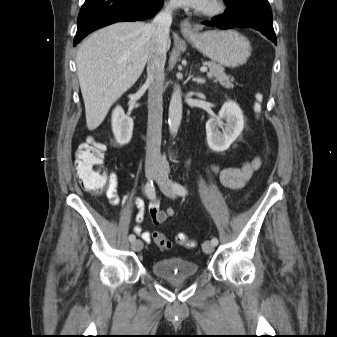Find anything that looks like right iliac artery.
<instances>
[{
    "mask_svg": "<svg viewBox=\"0 0 337 337\" xmlns=\"http://www.w3.org/2000/svg\"><path fill=\"white\" fill-rule=\"evenodd\" d=\"M145 193L149 199L154 200L156 197L155 188L152 181H148L145 185ZM136 239L134 234L129 235V241L133 242Z\"/></svg>",
    "mask_w": 337,
    "mask_h": 337,
    "instance_id": "right-iliac-artery-1",
    "label": "right iliac artery"
}]
</instances>
